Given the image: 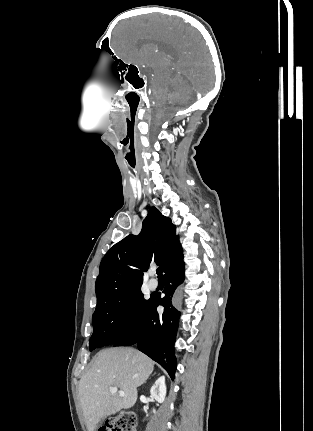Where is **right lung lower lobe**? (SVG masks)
Here are the masks:
<instances>
[{
	"label": "right lung lower lobe",
	"instance_id": "98d812e1",
	"mask_svg": "<svg viewBox=\"0 0 313 431\" xmlns=\"http://www.w3.org/2000/svg\"><path fill=\"white\" fill-rule=\"evenodd\" d=\"M165 297L151 296L138 322L113 346L137 344L138 349L158 362L174 379L177 368L174 356V343L179 324L180 312L173 306V295L184 281L183 251H181L164 275ZM164 307L163 314H158L157 307Z\"/></svg>",
	"mask_w": 313,
	"mask_h": 431
}]
</instances>
